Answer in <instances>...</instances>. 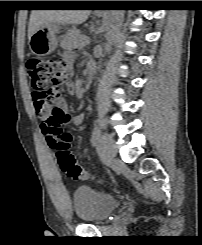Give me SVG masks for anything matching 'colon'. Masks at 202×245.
Listing matches in <instances>:
<instances>
[{
    "label": "colon",
    "instance_id": "obj_1",
    "mask_svg": "<svg viewBox=\"0 0 202 245\" xmlns=\"http://www.w3.org/2000/svg\"><path fill=\"white\" fill-rule=\"evenodd\" d=\"M30 84L35 90V106H44L47 119L44 125L46 134L51 138V146L60 170L68 177L89 180L91 174L77 162L71 151L72 137L63 129L70 120L69 115H62L54 109V102L60 95V88L69 75L63 62L35 57L27 65Z\"/></svg>",
    "mask_w": 202,
    "mask_h": 245
}]
</instances>
